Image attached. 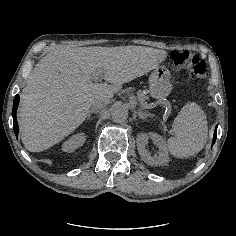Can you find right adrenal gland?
Segmentation results:
<instances>
[{
    "label": "right adrenal gland",
    "mask_w": 236,
    "mask_h": 236,
    "mask_svg": "<svg viewBox=\"0 0 236 236\" xmlns=\"http://www.w3.org/2000/svg\"><path fill=\"white\" fill-rule=\"evenodd\" d=\"M100 111H101V108H99V109L92 108V109L89 111L88 115H87V119H90L91 114H93V113H94V114H98Z\"/></svg>",
    "instance_id": "obj_1"
}]
</instances>
